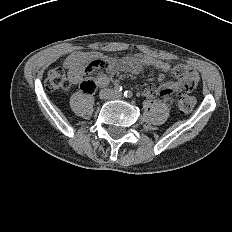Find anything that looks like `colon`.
Returning a JSON list of instances; mask_svg holds the SVG:
<instances>
[{"instance_id":"obj_1","label":"colon","mask_w":232,"mask_h":232,"mask_svg":"<svg viewBox=\"0 0 232 232\" xmlns=\"http://www.w3.org/2000/svg\"><path fill=\"white\" fill-rule=\"evenodd\" d=\"M127 60L129 62H133L134 58L129 57L127 58ZM116 61H117V58H108L106 60L102 58H94L90 60L84 69V75L86 76V78L80 85L81 90L85 93L92 92L95 87L94 82L91 77L92 73L97 69L105 67L106 62L112 63ZM66 86H67L66 78H65L64 73L62 72V69L53 68L49 70L47 77L45 79V88L47 90L52 91V90H56L59 88H64ZM188 92H189V86L181 87L177 91V95L180 97L178 104H179L180 109L183 112L191 111L195 103L194 98L188 95Z\"/></svg>"}]
</instances>
